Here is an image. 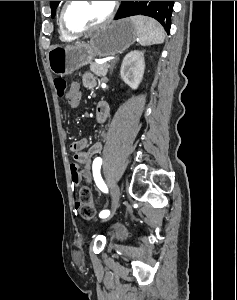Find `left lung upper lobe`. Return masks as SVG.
Wrapping results in <instances>:
<instances>
[{
	"mask_svg": "<svg viewBox=\"0 0 237 300\" xmlns=\"http://www.w3.org/2000/svg\"><path fill=\"white\" fill-rule=\"evenodd\" d=\"M60 1H50L52 17ZM173 5H165L164 1H121L119 13L115 19L133 15H146L158 20L169 33Z\"/></svg>",
	"mask_w": 237,
	"mask_h": 300,
	"instance_id": "obj_1",
	"label": "left lung upper lobe"
}]
</instances>
